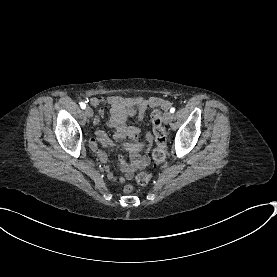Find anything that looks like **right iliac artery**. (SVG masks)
<instances>
[{
    "label": "right iliac artery",
    "instance_id": "82829eb1",
    "mask_svg": "<svg viewBox=\"0 0 277 277\" xmlns=\"http://www.w3.org/2000/svg\"><path fill=\"white\" fill-rule=\"evenodd\" d=\"M80 107H81L82 109H85V108H86V104H85L84 102H81V103H80Z\"/></svg>",
    "mask_w": 277,
    "mask_h": 277
}]
</instances>
